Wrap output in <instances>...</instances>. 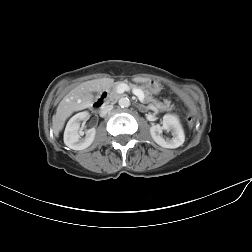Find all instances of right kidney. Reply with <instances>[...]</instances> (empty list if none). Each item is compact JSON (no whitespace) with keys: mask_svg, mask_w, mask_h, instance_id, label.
<instances>
[{"mask_svg":"<svg viewBox=\"0 0 252 252\" xmlns=\"http://www.w3.org/2000/svg\"><path fill=\"white\" fill-rule=\"evenodd\" d=\"M89 119L88 112H80L74 115L67 123L64 132V143L73 150H83L89 147L96 134V129H88L85 137H81L82 133L78 132L82 120Z\"/></svg>","mask_w":252,"mask_h":252,"instance_id":"obj_1","label":"right kidney"}]
</instances>
